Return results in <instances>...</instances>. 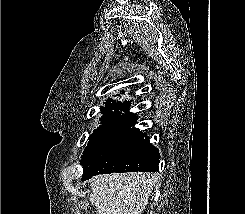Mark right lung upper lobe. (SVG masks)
I'll list each match as a JSON object with an SVG mask.
<instances>
[{
	"label": "right lung upper lobe",
	"mask_w": 245,
	"mask_h": 214,
	"mask_svg": "<svg viewBox=\"0 0 245 214\" xmlns=\"http://www.w3.org/2000/svg\"><path fill=\"white\" fill-rule=\"evenodd\" d=\"M129 106V101L121 103L115 102L113 99L106 100L105 108L101 107V112L104 116L100 121L103 125H100L92 135H106L117 130L131 129V127L134 126L137 117L136 114L128 111ZM119 110L125 111V114H121Z\"/></svg>",
	"instance_id": "1"
}]
</instances>
